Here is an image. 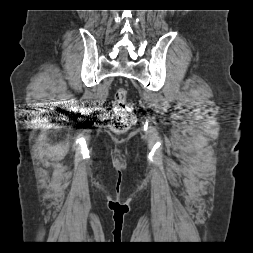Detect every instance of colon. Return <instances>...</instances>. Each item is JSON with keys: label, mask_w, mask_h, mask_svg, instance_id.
Returning a JSON list of instances; mask_svg holds the SVG:
<instances>
[{"label": "colon", "mask_w": 253, "mask_h": 253, "mask_svg": "<svg viewBox=\"0 0 253 253\" xmlns=\"http://www.w3.org/2000/svg\"><path fill=\"white\" fill-rule=\"evenodd\" d=\"M134 122V108L127 100V91L119 88L114 96V115L110 121V129L116 134H123Z\"/></svg>", "instance_id": "5ec220e1"}]
</instances>
